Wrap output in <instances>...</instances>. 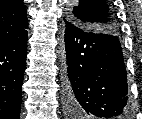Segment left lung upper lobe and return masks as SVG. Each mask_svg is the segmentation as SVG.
Wrapping results in <instances>:
<instances>
[{"label": "left lung upper lobe", "mask_w": 142, "mask_h": 119, "mask_svg": "<svg viewBox=\"0 0 142 119\" xmlns=\"http://www.w3.org/2000/svg\"><path fill=\"white\" fill-rule=\"evenodd\" d=\"M68 20L96 33L117 34L116 17L105 0H78L68 13Z\"/></svg>", "instance_id": "5c2ea615"}]
</instances>
